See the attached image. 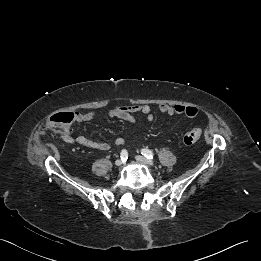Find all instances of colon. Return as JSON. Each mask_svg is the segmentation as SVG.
<instances>
[{"label":"colon","instance_id":"obj_1","mask_svg":"<svg viewBox=\"0 0 261 261\" xmlns=\"http://www.w3.org/2000/svg\"><path fill=\"white\" fill-rule=\"evenodd\" d=\"M75 120L74 113L57 112L52 114L47 121V129L57 132L72 124ZM202 130L194 128L183 136V142L187 145L194 144L201 136Z\"/></svg>","mask_w":261,"mask_h":261}]
</instances>
